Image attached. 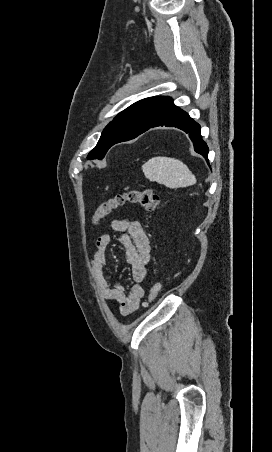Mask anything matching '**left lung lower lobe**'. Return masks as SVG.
Segmentation results:
<instances>
[{
    "label": "left lung lower lobe",
    "instance_id": "left-lung-lower-lobe-1",
    "mask_svg": "<svg viewBox=\"0 0 272 452\" xmlns=\"http://www.w3.org/2000/svg\"><path fill=\"white\" fill-rule=\"evenodd\" d=\"M158 126L176 127L188 133L193 142L195 152L201 154L208 162V146L202 140L200 125L196 123L188 113L175 106L172 99L166 104L147 130ZM137 136H134L131 139H134ZM131 139L121 140L117 143Z\"/></svg>",
    "mask_w": 272,
    "mask_h": 452
}]
</instances>
